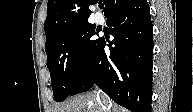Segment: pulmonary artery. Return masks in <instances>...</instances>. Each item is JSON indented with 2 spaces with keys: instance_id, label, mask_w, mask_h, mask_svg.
Masks as SVG:
<instances>
[{
  "instance_id": "obj_1",
  "label": "pulmonary artery",
  "mask_w": 193,
  "mask_h": 112,
  "mask_svg": "<svg viewBox=\"0 0 193 112\" xmlns=\"http://www.w3.org/2000/svg\"><path fill=\"white\" fill-rule=\"evenodd\" d=\"M95 21H96L97 24H103L104 23V19L100 14H97L95 16Z\"/></svg>"
}]
</instances>
